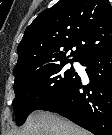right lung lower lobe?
Listing matches in <instances>:
<instances>
[{
    "instance_id": "right-lung-lower-lobe-1",
    "label": "right lung lower lobe",
    "mask_w": 112,
    "mask_h": 135,
    "mask_svg": "<svg viewBox=\"0 0 112 135\" xmlns=\"http://www.w3.org/2000/svg\"><path fill=\"white\" fill-rule=\"evenodd\" d=\"M90 83L73 84L38 110L55 112L94 135H112V47L80 61Z\"/></svg>"
}]
</instances>
